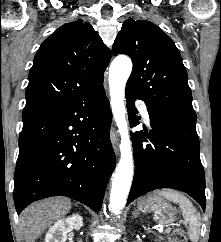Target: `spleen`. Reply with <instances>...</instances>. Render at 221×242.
I'll return each mask as SVG.
<instances>
[{"label": "spleen", "instance_id": "obj_1", "mask_svg": "<svg viewBox=\"0 0 221 242\" xmlns=\"http://www.w3.org/2000/svg\"><path fill=\"white\" fill-rule=\"evenodd\" d=\"M167 200L178 203L184 219L189 222L188 235L192 242H197L200 233V215L191 201L178 191L164 189L157 192Z\"/></svg>", "mask_w": 221, "mask_h": 242}]
</instances>
